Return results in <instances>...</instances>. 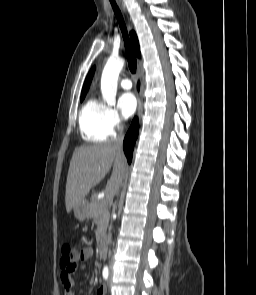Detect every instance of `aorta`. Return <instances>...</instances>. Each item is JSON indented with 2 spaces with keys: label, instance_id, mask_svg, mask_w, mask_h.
Returning <instances> with one entry per match:
<instances>
[{
  "label": "aorta",
  "instance_id": "762f6f07",
  "mask_svg": "<svg viewBox=\"0 0 256 295\" xmlns=\"http://www.w3.org/2000/svg\"><path fill=\"white\" fill-rule=\"evenodd\" d=\"M123 66V59L111 57L104 67L101 77V93L104 102L108 105L113 106L116 103L118 77Z\"/></svg>",
  "mask_w": 256,
  "mask_h": 295
}]
</instances>
